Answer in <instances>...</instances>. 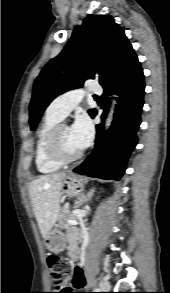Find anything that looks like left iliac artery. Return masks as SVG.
<instances>
[{
  "label": "left iliac artery",
  "instance_id": "left-iliac-artery-1",
  "mask_svg": "<svg viewBox=\"0 0 170 293\" xmlns=\"http://www.w3.org/2000/svg\"><path fill=\"white\" fill-rule=\"evenodd\" d=\"M100 289L105 290V288L101 285V283H100Z\"/></svg>",
  "mask_w": 170,
  "mask_h": 293
}]
</instances>
